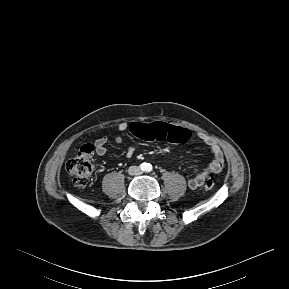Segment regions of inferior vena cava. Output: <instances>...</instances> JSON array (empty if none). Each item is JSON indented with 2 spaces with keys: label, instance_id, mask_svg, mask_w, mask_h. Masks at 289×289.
Masks as SVG:
<instances>
[{
  "label": "inferior vena cava",
  "instance_id": "602c4592",
  "mask_svg": "<svg viewBox=\"0 0 289 289\" xmlns=\"http://www.w3.org/2000/svg\"><path fill=\"white\" fill-rule=\"evenodd\" d=\"M128 172H129L130 175H140V174H142L141 169L139 167H137V166L129 167Z\"/></svg>",
  "mask_w": 289,
  "mask_h": 289
}]
</instances>
